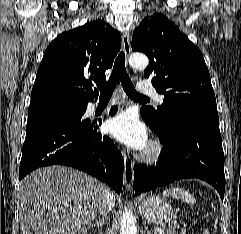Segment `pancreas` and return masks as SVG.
Masks as SVG:
<instances>
[{
	"mask_svg": "<svg viewBox=\"0 0 241 234\" xmlns=\"http://www.w3.org/2000/svg\"><path fill=\"white\" fill-rule=\"evenodd\" d=\"M165 234H175V232L168 230Z\"/></svg>",
	"mask_w": 241,
	"mask_h": 234,
	"instance_id": "1",
	"label": "pancreas"
}]
</instances>
